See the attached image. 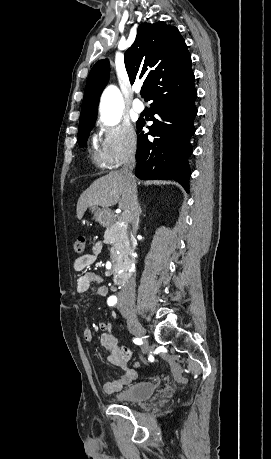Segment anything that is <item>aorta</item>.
<instances>
[{"instance_id":"obj_1","label":"aorta","mask_w":271,"mask_h":459,"mask_svg":"<svg viewBox=\"0 0 271 459\" xmlns=\"http://www.w3.org/2000/svg\"><path fill=\"white\" fill-rule=\"evenodd\" d=\"M123 111V98L116 86H108L102 94L100 112L102 121L110 126L119 123Z\"/></svg>"}]
</instances>
